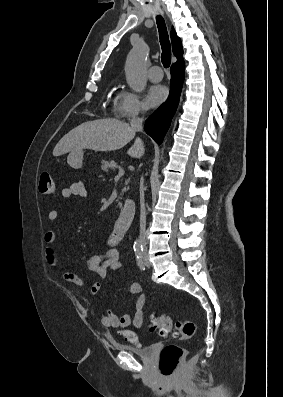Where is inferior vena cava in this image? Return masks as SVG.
Segmentation results:
<instances>
[{
    "label": "inferior vena cava",
    "mask_w": 283,
    "mask_h": 397,
    "mask_svg": "<svg viewBox=\"0 0 283 397\" xmlns=\"http://www.w3.org/2000/svg\"><path fill=\"white\" fill-rule=\"evenodd\" d=\"M139 110L132 117L130 124L135 131L142 130L143 119L138 117ZM145 229H146V208L144 201V192L140 191V240L142 245L145 247Z\"/></svg>",
    "instance_id": "inferior-vena-cava-1"
}]
</instances>
